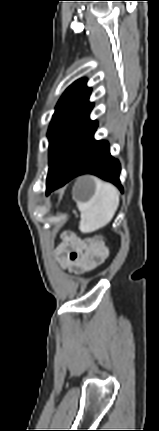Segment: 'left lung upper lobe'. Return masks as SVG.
<instances>
[{
    "label": "left lung upper lobe",
    "mask_w": 159,
    "mask_h": 431,
    "mask_svg": "<svg viewBox=\"0 0 159 431\" xmlns=\"http://www.w3.org/2000/svg\"><path fill=\"white\" fill-rule=\"evenodd\" d=\"M86 81L83 78L69 86L55 108L47 135L50 143L47 187L60 171L77 136L96 122L89 118L93 104L89 102L91 89Z\"/></svg>",
    "instance_id": "left-lung-upper-lobe-1"
}]
</instances>
